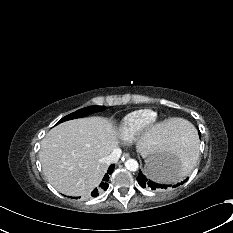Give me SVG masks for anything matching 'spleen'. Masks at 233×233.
Listing matches in <instances>:
<instances>
[{
    "label": "spleen",
    "mask_w": 233,
    "mask_h": 233,
    "mask_svg": "<svg viewBox=\"0 0 233 233\" xmlns=\"http://www.w3.org/2000/svg\"><path fill=\"white\" fill-rule=\"evenodd\" d=\"M173 163L180 168L179 177L197 159V142L194 127L186 121V128L182 136L178 139V144L171 154Z\"/></svg>",
    "instance_id": "3e777b00"
}]
</instances>
